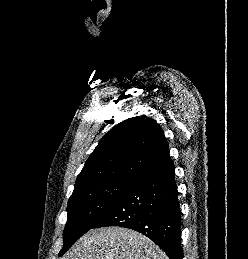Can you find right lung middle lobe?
<instances>
[{"instance_id": "obj_1", "label": "right lung middle lobe", "mask_w": 248, "mask_h": 259, "mask_svg": "<svg viewBox=\"0 0 248 259\" xmlns=\"http://www.w3.org/2000/svg\"><path fill=\"white\" fill-rule=\"evenodd\" d=\"M132 183L106 181L75 188L67 206L62 256L82 235L98 223Z\"/></svg>"}]
</instances>
